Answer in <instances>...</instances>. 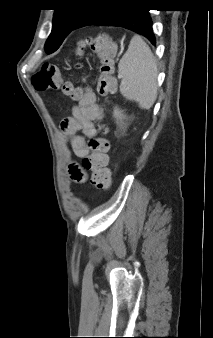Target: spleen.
<instances>
[{"instance_id": "obj_1", "label": "spleen", "mask_w": 213, "mask_h": 338, "mask_svg": "<svg viewBox=\"0 0 213 338\" xmlns=\"http://www.w3.org/2000/svg\"><path fill=\"white\" fill-rule=\"evenodd\" d=\"M118 68L122 75L121 94L143 109L151 108L157 98V64L150 47L139 35L132 37Z\"/></svg>"}]
</instances>
